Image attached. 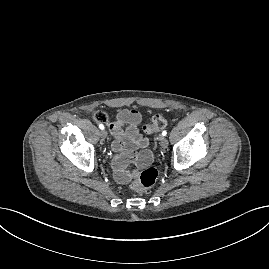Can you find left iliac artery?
<instances>
[{
    "instance_id": "left-iliac-artery-1",
    "label": "left iliac artery",
    "mask_w": 269,
    "mask_h": 269,
    "mask_svg": "<svg viewBox=\"0 0 269 269\" xmlns=\"http://www.w3.org/2000/svg\"><path fill=\"white\" fill-rule=\"evenodd\" d=\"M162 135H163V136H166V135H167V131L164 130V131L162 132Z\"/></svg>"
}]
</instances>
